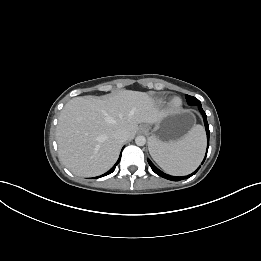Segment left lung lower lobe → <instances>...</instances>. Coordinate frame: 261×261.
Here are the masks:
<instances>
[{"instance_id": "1", "label": "left lung lower lobe", "mask_w": 261, "mask_h": 261, "mask_svg": "<svg viewBox=\"0 0 261 261\" xmlns=\"http://www.w3.org/2000/svg\"><path fill=\"white\" fill-rule=\"evenodd\" d=\"M201 114L203 115V119H204V124H205V129H206V134H207V140H208V144H207V151H208V147H209V125H208V122H207V116L204 112V110L202 109V106H199L198 107ZM207 154V153H206ZM205 160V159H204ZM203 160V162H204ZM202 162V164H203ZM148 163L151 167V169L159 176L163 177V178H166V179H169V180H172V181H180V180H183V179H187L189 177H191L192 175H194L199 169H200V166L198 167V169L196 171H194L192 174H189L187 176H182V177H177V176H171V175H168V174H165L163 173L161 170H159L150 160H148Z\"/></svg>"}]
</instances>
